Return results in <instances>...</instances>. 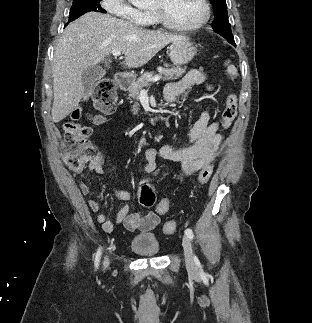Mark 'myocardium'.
I'll return each mask as SVG.
<instances>
[{"instance_id":"obj_1","label":"myocardium","mask_w":312,"mask_h":323,"mask_svg":"<svg viewBox=\"0 0 312 323\" xmlns=\"http://www.w3.org/2000/svg\"><path fill=\"white\" fill-rule=\"evenodd\" d=\"M198 4H201L200 19L195 20H171L169 14L165 8H156L155 13L158 19L159 25H168L169 31H201V27L207 23L210 19V13L212 11V5L208 0H197Z\"/></svg>"}]
</instances>
